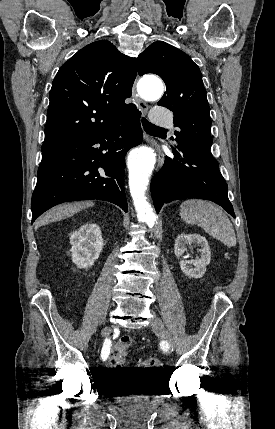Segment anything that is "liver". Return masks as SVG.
I'll use <instances>...</instances> for the list:
<instances>
[{"label": "liver", "instance_id": "6515ba94", "mask_svg": "<svg viewBox=\"0 0 275 429\" xmlns=\"http://www.w3.org/2000/svg\"><path fill=\"white\" fill-rule=\"evenodd\" d=\"M86 203H76V204H67V205H61L57 206L48 212H46L44 215H42L36 222V227H40L42 225L48 224L50 222L62 219L68 215L74 214L78 212L80 209L85 207Z\"/></svg>", "mask_w": 275, "mask_h": 429}]
</instances>
